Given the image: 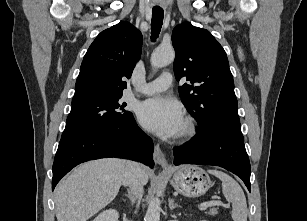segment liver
<instances>
[{
    "mask_svg": "<svg viewBox=\"0 0 307 221\" xmlns=\"http://www.w3.org/2000/svg\"><path fill=\"white\" fill-rule=\"evenodd\" d=\"M134 172L143 185L149 169L136 163ZM126 173V161L104 158L86 162L55 189L57 221H87L117 196Z\"/></svg>",
    "mask_w": 307,
    "mask_h": 221,
    "instance_id": "obj_1",
    "label": "liver"
}]
</instances>
